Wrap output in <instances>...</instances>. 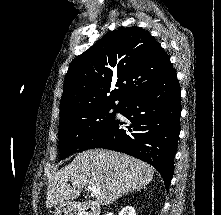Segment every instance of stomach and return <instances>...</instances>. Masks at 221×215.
Segmentation results:
<instances>
[{"instance_id": "1", "label": "stomach", "mask_w": 221, "mask_h": 215, "mask_svg": "<svg viewBox=\"0 0 221 215\" xmlns=\"http://www.w3.org/2000/svg\"><path fill=\"white\" fill-rule=\"evenodd\" d=\"M54 215H76V206L71 202L60 203L56 207Z\"/></svg>"}]
</instances>
